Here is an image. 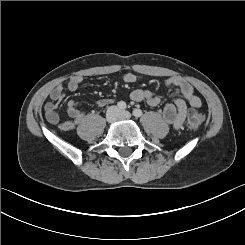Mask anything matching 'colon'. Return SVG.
I'll return each instance as SVG.
<instances>
[{"instance_id": "5ec220e1", "label": "colon", "mask_w": 245, "mask_h": 245, "mask_svg": "<svg viewBox=\"0 0 245 245\" xmlns=\"http://www.w3.org/2000/svg\"><path fill=\"white\" fill-rule=\"evenodd\" d=\"M205 116L203 113L194 109L190 110L187 116V126L191 130H198L204 122Z\"/></svg>"}]
</instances>
